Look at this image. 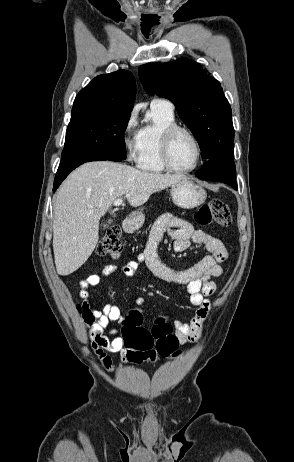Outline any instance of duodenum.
<instances>
[{
	"label": "duodenum",
	"instance_id": "obj_1",
	"mask_svg": "<svg viewBox=\"0 0 294 462\" xmlns=\"http://www.w3.org/2000/svg\"><path fill=\"white\" fill-rule=\"evenodd\" d=\"M122 227H123L124 232L131 233L135 229V223L132 217L130 216L125 217L123 220Z\"/></svg>",
	"mask_w": 294,
	"mask_h": 462
}]
</instances>
